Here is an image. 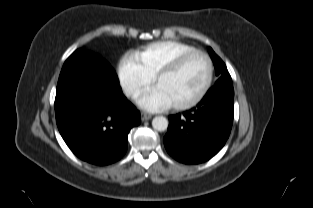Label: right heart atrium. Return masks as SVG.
<instances>
[{"label": "right heart atrium", "instance_id": "d8ad5b80", "mask_svg": "<svg viewBox=\"0 0 313 208\" xmlns=\"http://www.w3.org/2000/svg\"><path fill=\"white\" fill-rule=\"evenodd\" d=\"M118 77L120 85L128 97L135 96L154 80V76L139 63L135 55H127L120 61Z\"/></svg>", "mask_w": 313, "mask_h": 208}]
</instances>
